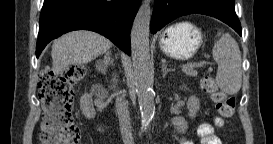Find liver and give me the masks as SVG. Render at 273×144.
Wrapping results in <instances>:
<instances>
[{
  "mask_svg": "<svg viewBox=\"0 0 273 144\" xmlns=\"http://www.w3.org/2000/svg\"><path fill=\"white\" fill-rule=\"evenodd\" d=\"M111 47L109 39L92 31L67 33L52 45V71L55 75L61 74L68 66L88 63Z\"/></svg>",
  "mask_w": 273,
  "mask_h": 144,
  "instance_id": "6515ba94",
  "label": "liver"
}]
</instances>
